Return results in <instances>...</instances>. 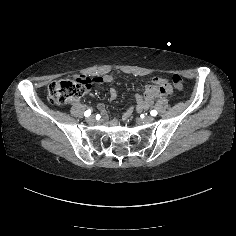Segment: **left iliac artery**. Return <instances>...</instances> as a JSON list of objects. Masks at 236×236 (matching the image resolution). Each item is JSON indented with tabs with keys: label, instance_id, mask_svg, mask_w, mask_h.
I'll return each mask as SVG.
<instances>
[{
	"label": "left iliac artery",
	"instance_id": "44dca946",
	"mask_svg": "<svg viewBox=\"0 0 236 236\" xmlns=\"http://www.w3.org/2000/svg\"><path fill=\"white\" fill-rule=\"evenodd\" d=\"M150 114H151L152 116H156V115H157V111H156V110H151Z\"/></svg>",
	"mask_w": 236,
	"mask_h": 236
}]
</instances>
